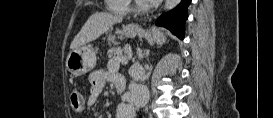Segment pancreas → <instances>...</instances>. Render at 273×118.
I'll list each match as a JSON object with an SVG mask.
<instances>
[{
  "mask_svg": "<svg viewBox=\"0 0 273 118\" xmlns=\"http://www.w3.org/2000/svg\"><path fill=\"white\" fill-rule=\"evenodd\" d=\"M126 50L127 48L113 47L108 50L107 55L109 58H115L117 60H120L123 56V52Z\"/></svg>",
  "mask_w": 273,
  "mask_h": 118,
  "instance_id": "pancreas-1",
  "label": "pancreas"
}]
</instances>
